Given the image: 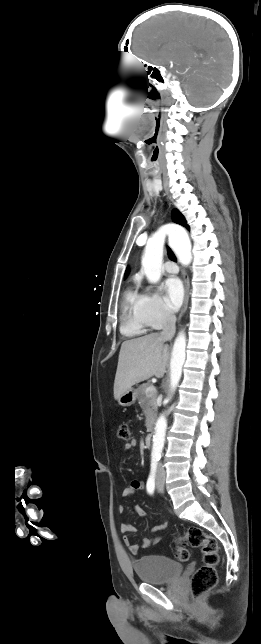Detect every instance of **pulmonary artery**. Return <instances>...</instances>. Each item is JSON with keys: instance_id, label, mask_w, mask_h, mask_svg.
I'll return each instance as SVG.
<instances>
[{"instance_id": "pulmonary-artery-1", "label": "pulmonary artery", "mask_w": 261, "mask_h": 644, "mask_svg": "<svg viewBox=\"0 0 261 644\" xmlns=\"http://www.w3.org/2000/svg\"><path fill=\"white\" fill-rule=\"evenodd\" d=\"M164 269L166 270V272L171 274H175L178 272V266L171 261H168L164 264Z\"/></svg>"}]
</instances>
